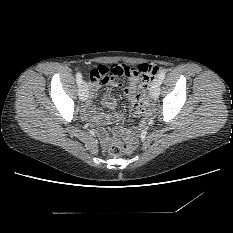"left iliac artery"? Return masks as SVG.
Returning <instances> with one entry per match:
<instances>
[{"instance_id":"1","label":"left iliac artery","mask_w":233,"mask_h":233,"mask_svg":"<svg viewBox=\"0 0 233 233\" xmlns=\"http://www.w3.org/2000/svg\"><path fill=\"white\" fill-rule=\"evenodd\" d=\"M165 74H166V71L163 70L160 74H159V81L162 82L165 78Z\"/></svg>"}]
</instances>
